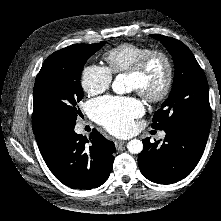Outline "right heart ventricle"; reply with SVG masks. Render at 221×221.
<instances>
[{
    "label": "right heart ventricle",
    "instance_id": "e07e8e85",
    "mask_svg": "<svg viewBox=\"0 0 221 221\" xmlns=\"http://www.w3.org/2000/svg\"><path fill=\"white\" fill-rule=\"evenodd\" d=\"M149 49V47L131 43L117 45L103 54L106 68L112 75L127 73Z\"/></svg>",
    "mask_w": 221,
    "mask_h": 221
}]
</instances>
